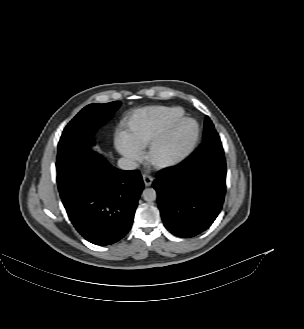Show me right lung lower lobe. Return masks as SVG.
I'll list each match as a JSON object with an SVG mask.
<instances>
[{
  "instance_id": "right-lung-lower-lobe-1",
  "label": "right lung lower lobe",
  "mask_w": 304,
  "mask_h": 329,
  "mask_svg": "<svg viewBox=\"0 0 304 329\" xmlns=\"http://www.w3.org/2000/svg\"><path fill=\"white\" fill-rule=\"evenodd\" d=\"M57 185L77 231L96 245H110L131 229L144 188L137 170H119L87 149L56 163Z\"/></svg>"
}]
</instances>
